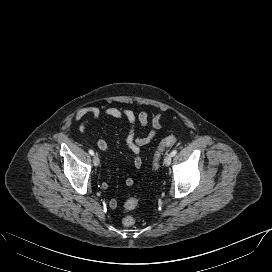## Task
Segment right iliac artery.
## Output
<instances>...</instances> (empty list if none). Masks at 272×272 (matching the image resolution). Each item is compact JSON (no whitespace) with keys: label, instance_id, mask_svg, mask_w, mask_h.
Here are the masks:
<instances>
[{"label":"right iliac artery","instance_id":"obj_1","mask_svg":"<svg viewBox=\"0 0 272 272\" xmlns=\"http://www.w3.org/2000/svg\"><path fill=\"white\" fill-rule=\"evenodd\" d=\"M89 154L93 156L94 155V151L90 149L89 150Z\"/></svg>","mask_w":272,"mask_h":272}]
</instances>
